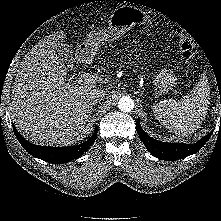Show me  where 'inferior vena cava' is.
Returning <instances> with one entry per match:
<instances>
[{"instance_id": "inferior-vena-cava-1", "label": "inferior vena cava", "mask_w": 221, "mask_h": 221, "mask_svg": "<svg viewBox=\"0 0 221 221\" xmlns=\"http://www.w3.org/2000/svg\"><path fill=\"white\" fill-rule=\"evenodd\" d=\"M89 96L91 100L98 102L105 98L106 92L102 89L95 88L90 91Z\"/></svg>"}]
</instances>
